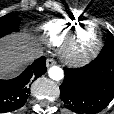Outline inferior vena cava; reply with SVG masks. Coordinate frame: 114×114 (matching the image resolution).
Wrapping results in <instances>:
<instances>
[{"label": "inferior vena cava", "instance_id": "inferior-vena-cava-1", "mask_svg": "<svg viewBox=\"0 0 114 114\" xmlns=\"http://www.w3.org/2000/svg\"><path fill=\"white\" fill-rule=\"evenodd\" d=\"M43 55V52L39 49H34L31 50L28 54H27V59L29 61H33L37 58H40Z\"/></svg>", "mask_w": 114, "mask_h": 114}]
</instances>
